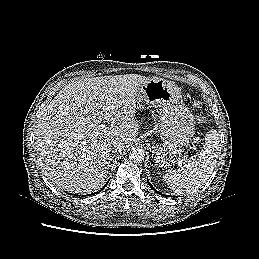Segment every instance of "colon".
<instances>
[{"label":"colon","instance_id":"colon-1","mask_svg":"<svg viewBox=\"0 0 259 259\" xmlns=\"http://www.w3.org/2000/svg\"><path fill=\"white\" fill-rule=\"evenodd\" d=\"M199 104H200V102H199L198 99H193V100H192V105H193L194 107H198ZM196 120H197L198 122H202V121L204 120V116H203L201 113H198V114L196 115Z\"/></svg>","mask_w":259,"mask_h":259}]
</instances>
